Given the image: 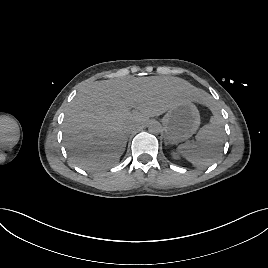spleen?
Instances as JSON below:
<instances>
[{
	"mask_svg": "<svg viewBox=\"0 0 268 268\" xmlns=\"http://www.w3.org/2000/svg\"><path fill=\"white\" fill-rule=\"evenodd\" d=\"M223 137V119L215 111L210 122L198 131L196 141L180 145L177 152L195 167L203 169L213 164L221 154Z\"/></svg>",
	"mask_w": 268,
	"mask_h": 268,
	"instance_id": "3e777b00",
	"label": "spleen"
}]
</instances>
